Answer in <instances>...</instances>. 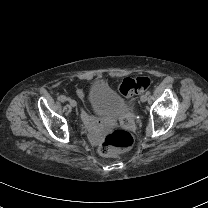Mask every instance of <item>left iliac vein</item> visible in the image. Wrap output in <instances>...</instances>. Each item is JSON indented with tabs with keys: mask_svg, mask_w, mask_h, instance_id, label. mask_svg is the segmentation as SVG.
I'll return each instance as SVG.
<instances>
[{
	"mask_svg": "<svg viewBox=\"0 0 208 208\" xmlns=\"http://www.w3.org/2000/svg\"><path fill=\"white\" fill-rule=\"evenodd\" d=\"M147 99H148V96L146 94H144L140 97L141 102H146Z\"/></svg>",
	"mask_w": 208,
	"mask_h": 208,
	"instance_id": "obj_1",
	"label": "left iliac vein"
}]
</instances>
